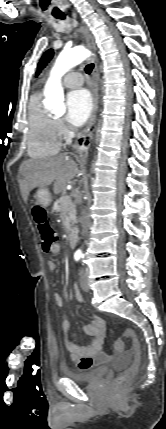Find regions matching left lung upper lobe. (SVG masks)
Returning <instances> with one entry per match:
<instances>
[{"instance_id": "1", "label": "left lung upper lobe", "mask_w": 166, "mask_h": 429, "mask_svg": "<svg viewBox=\"0 0 166 429\" xmlns=\"http://www.w3.org/2000/svg\"><path fill=\"white\" fill-rule=\"evenodd\" d=\"M53 55H54L53 49H49L43 54V56L41 57L37 65L36 76H38L40 72L46 67L47 63L52 59Z\"/></svg>"}]
</instances>
